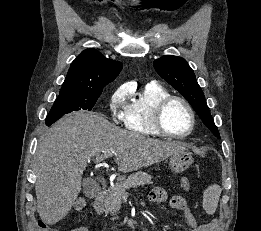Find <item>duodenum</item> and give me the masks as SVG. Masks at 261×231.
<instances>
[{
    "label": "duodenum",
    "mask_w": 261,
    "mask_h": 231,
    "mask_svg": "<svg viewBox=\"0 0 261 231\" xmlns=\"http://www.w3.org/2000/svg\"><path fill=\"white\" fill-rule=\"evenodd\" d=\"M106 189L101 190L94 199V207L96 210L100 211L105 198Z\"/></svg>",
    "instance_id": "1"
}]
</instances>
